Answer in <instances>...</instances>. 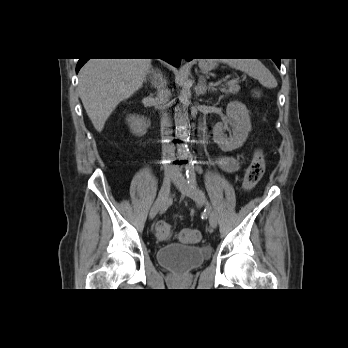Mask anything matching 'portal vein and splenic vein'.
I'll return each mask as SVG.
<instances>
[{
    "label": "portal vein and splenic vein",
    "mask_w": 348,
    "mask_h": 348,
    "mask_svg": "<svg viewBox=\"0 0 348 348\" xmlns=\"http://www.w3.org/2000/svg\"><path fill=\"white\" fill-rule=\"evenodd\" d=\"M235 82H237V80L232 79V80L227 81L226 85L232 84V83H235ZM219 84H220V82L216 83L215 85H219Z\"/></svg>",
    "instance_id": "18ae733b"
}]
</instances>
